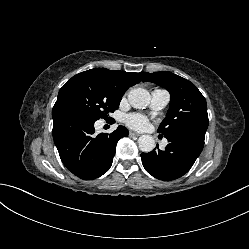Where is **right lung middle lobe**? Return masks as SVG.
Instances as JSON below:
<instances>
[{"label": "right lung middle lobe", "mask_w": 249, "mask_h": 249, "mask_svg": "<svg viewBox=\"0 0 249 249\" xmlns=\"http://www.w3.org/2000/svg\"><path fill=\"white\" fill-rule=\"evenodd\" d=\"M122 96L97 75L84 71L60 89L54 107H66L96 121L118 109Z\"/></svg>", "instance_id": "obj_1"}]
</instances>
